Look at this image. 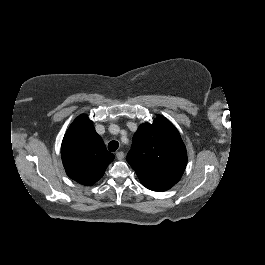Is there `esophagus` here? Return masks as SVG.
I'll list each match as a JSON object with an SVG mask.
<instances>
[{"label":"esophagus","mask_w":265,"mask_h":265,"mask_svg":"<svg viewBox=\"0 0 265 265\" xmlns=\"http://www.w3.org/2000/svg\"><path fill=\"white\" fill-rule=\"evenodd\" d=\"M116 157L118 160H122L124 158V152H122V151L117 152Z\"/></svg>","instance_id":"1"}]
</instances>
